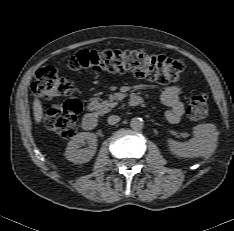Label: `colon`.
Segmentation results:
<instances>
[{
	"label": "colon",
	"mask_w": 234,
	"mask_h": 231,
	"mask_svg": "<svg viewBox=\"0 0 234 231\" xmlns=\"http://www.w3.org/2000/svg\"><path fill=\"white\" fill-rule=\"evenodd\" d=\"M68 68L72 71L91 70L109 73L130 71L139 78L166 84L174 82L180 77L184 70V62L180 59L151 55L141 51L85 50L73 55L68 60ZM74 90L73 84L60 77L52 67L39 69L32 84L33 93L46 99L71 95ZM81 109L82 104L77 99H68L53 106L44 119L46 128L63 138L73 137ZM207 113L208 105L205 94L194 93L187 109L189 118L195 121L202 120Z\"/></svg>",
	"instance_id": "obj_1"
}]
</instances>
